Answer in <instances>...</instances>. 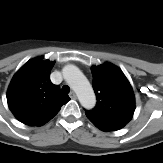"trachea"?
Here are the masks:
<instances>
[{"label": "trachea", "mask_w": 163, "mask_h": 163, "mask_svg": "<svg viewBox=\"0 0 163 163\" xmlns=\"http://www.w3.org/2000/svg\"><path fill=\"white\" fill-rule=\"evenodd\" d=\"M62 92H64V93H69V92H70L69 86L64 85V86L62 87Z\"/></svg>", "instance_id": "trachea-1"}]
</instances>
